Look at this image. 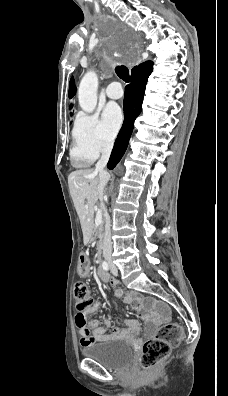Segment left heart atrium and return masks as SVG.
<instances>
[{"mask_svg": "<svg viewBox=\"0 0 228 396\" xmlns=\"http://www.w3.org/2000/svg\"><path fill=\"white\" fill-rule=\"evenodd\" d=\"M102 118L107 133L114 137L123 121L121 109L115 104H109L104 109Z\"/></svg>", "mask_w": 228, "mask_h": 396, "instance_id": "obj_1", "label": "left heart atrium"}]
</instances>
